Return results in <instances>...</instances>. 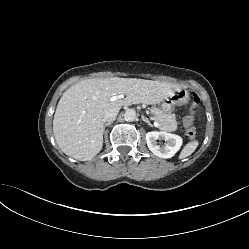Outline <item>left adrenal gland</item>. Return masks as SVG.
Masks as SVG:
<instances>
[{
	"mask_svg": "<svg viewBox=\"0 0 249 249\" xmlns=\"http://www.w3.org/2000/svg\"><path fill=\"white\" fill-rule=\"evenodd\" d=\"M142 120L145 121L149 126L153 127V125L151 124V122L149 121V119L146 118L145 116L142 117Z\"/></svg>",
	"mask_w": 249,
	"mask_h": 249,
	"instance_id": "1",
	"label": "left adrenal gland"
}]
</instances>
